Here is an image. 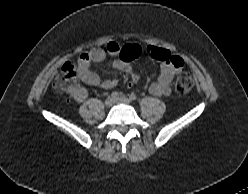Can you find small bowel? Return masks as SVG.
Returning a JSON list of instances; mask_svg holds the SVG:
<instances>
[{
  "mask_svg": "<svg viewBox=\"0 0 248 194\" xmlns=\"http://www.w3.org/2000/svg\"><path fill=\"white\" fill-rule=\"evenodd\" d=\"M142 47L138 44L118 45L110 42L102 48H94L81 54L77 61V73L79 78L87 85L99 86L104 89H111L117 85V79L102 80L98 74L91 71L92 63L102 62L108 56H119L112 62L115 70L132 74L134 68L131 61L142 55ZM146 54L155 60L161 62V73L158 81L149 87L150 94L154 96H168L171 93V83L175 76L184 66L183 60L176 55H172L165 49L156 46H147ZM72 97L77 102H82L87 97V90L82 86H76L70 91Z\"/></svg>",
  "mask_w": 248,
  "mask_h": 194,
  "instance_id": "obj_1",
  "label": "small bowel"
}]
</instances>
